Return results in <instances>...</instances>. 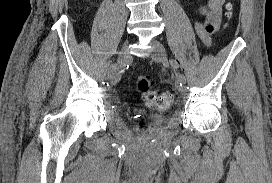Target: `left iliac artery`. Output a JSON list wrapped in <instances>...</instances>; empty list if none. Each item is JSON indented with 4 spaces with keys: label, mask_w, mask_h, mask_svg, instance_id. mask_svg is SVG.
Masks as SVG:
<instances>
[{
    "label": "left iliac artery",
    "mask_w": 272,
    "mask_h": 183,
    "mask_svg": "<svg viewBox=\"0 0 272 183\" xmlns=\"http://www.w3.org/2000/svg\"><path fill=\"white\" fill-rule=\"evenodd\" d=\"M170 64H171L172 68H173L175 71H177V69L179 68L178 62H177L176 60H174V59H171V60H170ZM176 77H177V81L179 82L180 86H181V87L184 86V84H185V82H186V79H185L184 75L181 74V73H179V72H177V73H176Z\"/></svg>",
    "instance_id": "1"
}]
</instances>
